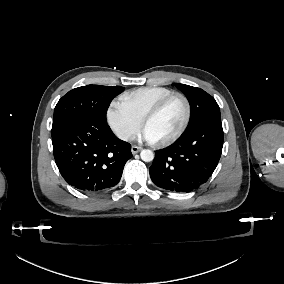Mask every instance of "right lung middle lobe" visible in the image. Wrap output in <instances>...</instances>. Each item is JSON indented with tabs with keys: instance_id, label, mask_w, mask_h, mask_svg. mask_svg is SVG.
Returning a JSON list of instances; mask_svg holds the SVG:
<instances>
[{
	"instance_id": "obj_1",
	"label": "right lung middle lobe",
	"mask_w": 284,
	"mask_h": 284,
	"mask_svg": "<svg viewBox=\"0 0 284 284\" xmlns=\"http://www.w3.org/2000/svg\"><path fill=\"white\" fill-rule=\"evenodd\" d=\"M123 90L121 86L87 85L69 91L54 109L52 130L64 121L77 117H89L107 123V109L113 98Z\"/></svg>"
}]
</instances>
